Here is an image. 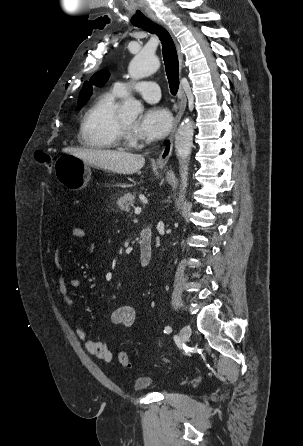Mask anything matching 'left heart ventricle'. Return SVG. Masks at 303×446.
I'll use <instances>...</instances> for the list:
<instances>
[{
  "label": "left heart ventricle",
  "instance_id": "obj_1",
  "mask_svg": "<svg viewBox=\"0 0 303 446\" xmlns=\"http://www.w3.org/2000/svg\"><path fill=\"white\" fill-rule=\"evenodd\" d=\"M122 121L130 129L133 128L135 125V121L133 119H123Z\"/></svg>",
  "mask_w": 303,
  "mask_h": 446
}]
</instances>
